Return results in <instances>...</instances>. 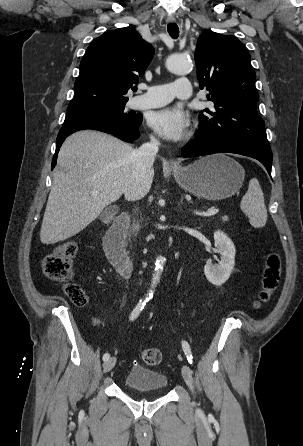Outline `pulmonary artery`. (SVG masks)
I'll return each mask as SVG.
<instances>
[{
	"instance_id": "obj_1",
	"label": "pulmonary artery",
	"mask_w": 303,
	"mask_h": 446,
	"mask_svg": "<svg viewBox=\"0 0 303 446\" xmlns=\"http://www.w3.org/2000/svg\"><path fill=\"white\" fill-rule=\"evenodd\" d=\"M145 92L134 97L131 107L136 109L163 106L174 98L189 99L192 96L191 83L187 78H178L172 83L143 87Z\"/></svg>"
}]
</instances>
